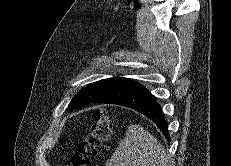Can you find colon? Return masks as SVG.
<instances>
[{"instance_id":"1","label":"colon","mask_w":231,"mask_h":166,"mask_svg":"<svg viewBox=\"0 0 231 166\" xmlns=\"http://www.w3.org/2000/svg\"><path fill=\"white\" fill-rule=\"evenodd\" d=\"M111 118L105 109L94 114V120L87 135L78 143L72 157V166H90L101 145L109 139Z\"/></svg>"}]
</instances>
